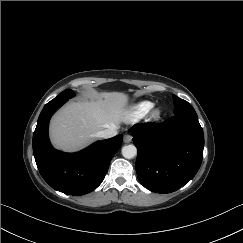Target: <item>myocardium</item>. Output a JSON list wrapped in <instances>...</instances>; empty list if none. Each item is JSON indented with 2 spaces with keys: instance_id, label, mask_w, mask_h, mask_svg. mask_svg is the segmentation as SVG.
Instances as JSON below:
<instances>
[{
  "instance_id": "myocardium-1",
  "label": "myocardium",
  "mask_w": 243,
  "mask_h": 243,
  "mask_svg": "<svg viewBox=\"0 0 243 243\" xmlns=\"http://www.w3.org/2000/svg\"><path fill=\"white\" fill-rule=\"evenodd\" d=\"M161 115H162V110L160 108H157L152 111L151 119L158 120L161 117Z\"/></svg>"
}]
</instances>
